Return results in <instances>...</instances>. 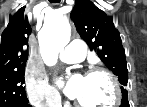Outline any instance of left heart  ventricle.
I'll return each mask as SVG.
<instances>
[{
  "label": "left heart ventricle",
  "instance_id": "b2bd125f",
  "mask_svg": "<svg viewBox=\"0 0 147 107\" xmlns=\"http://www.w3.org/2000/svg\"><path fill=\"white\" fill-rule=\"evenodd\" d=\"M76 99L90 107L108 105L113 99L112 85L104 75L84 77L82 90Z\"/></svg>",
  "mask_w": 147,
  "mask_h": 107
}]
</instances>
